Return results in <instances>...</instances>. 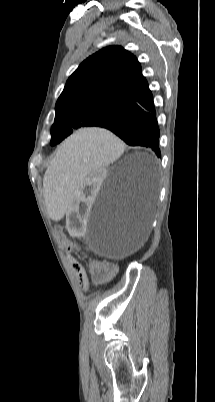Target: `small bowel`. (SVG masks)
I'll list each match as a JSON object with an SVG mask.
<instances>
[{
    "label": "small bowel",
    "instance_id": "obj_1",
    "mask_svg": "<svg viewBox=\"0 0 215 402\" xmlns=\"http://www.w3.org/2000/svg\"><path fill=\"white\" fill-rule=\"evenodd\" d=\"M79 280H80V283H81L84 287H87V286H88V279H87V276H86L84 270H81V271L79 272Z\"/></svg>",
    "mask_w": 215,
    "mask_h": 402
}]
</instances>
